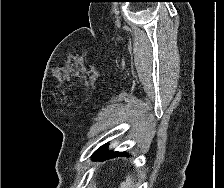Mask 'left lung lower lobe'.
Segmentation results:
<instances>
[{
	"label": "left lung lower lobe",
	"mask_w": 224,
	"mask_h": 188,
	"mask_svg": "<svg viewBox=\"0 0 224 188\" xmlns=\"http://www.w3.org/2000/svg\"><path fill=\"white\" fill-rule=\"evenodd\" d=\"M107 147V144L101 146L98 150H96L93 154L94 160H105L108 158L115 157L117 155L123 154V152H104V149Z\"/></svg>",
	"instance_id": "obj_1"
}]
</instances>
